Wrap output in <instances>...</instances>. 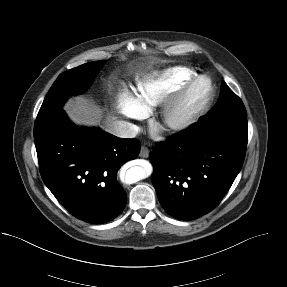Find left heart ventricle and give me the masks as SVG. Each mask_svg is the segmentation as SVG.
Instances as JSON below:
<instances>
[{
    "label": "left heart ventricle",
    "mask_w": 287,
    "mask_h": 287,
    "mask_svg": "<svg viewBox=\"0 0 287 287\" xmlns=\"http://www.w3.org/2000/svg\"><path fill=\"white\" fill-rule=\"evenodd\" d=\"M206 90V86L203 83L198 84L190 93L189 98L187 100V105H191L198 101L201 96L204 94Z\"/></svg>",
    "instance_id": "1"
}]
</instances>
